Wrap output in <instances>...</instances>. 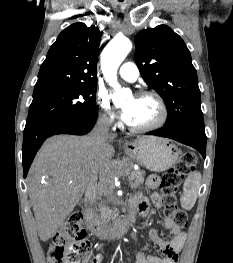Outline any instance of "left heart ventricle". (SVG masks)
<instances>
[{
    "label": "left heart ventricle",
    "mask_w": 233,
    "mask_h": 263,
    "mask_svg": "<svg viewBox=\"0 0 233 263\" xmlns=\"http://www.w3.org/2000/svg\"><path fill=\"white\" fill-rule=\"evenodd\" d=\"M132 106L134 115L130 125L145 126L153 123L160 114L156 101L150 97L130 98L125 103V108Z\"/></svg>",
    "instance_id": "b2bd125f"
}]
</instances>
